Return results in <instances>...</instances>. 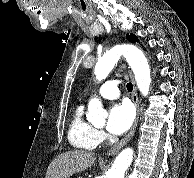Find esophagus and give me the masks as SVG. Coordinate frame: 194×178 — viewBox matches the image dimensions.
Listing matches in <instances>:
<instances>
[{"mask_svg":"<svg viewBox=\"0 0 194 178\" xmlns=\"http://www.w3.org/2000/svg\"><path fill=\"white\" fill-rule=\"evenodd\" d=\"M130 76H131V79H132V82H133V86H134L133 93H132V100H133V102H134V104L136 106V111H137L136 112V117H135L134 123H133L129 133L120 142L115 144L107 152V156H112V155L117 154L121 150V148L124 147L127 144V142L133 137V135H134V133L136 131L137 125H138L139 114H140L139 99H138L136 83H135L134 77L131 74V72H130Z\"/></svg>","mask_w":194,"mask_h":178,"instance_id":"34e87169","label":"esophagus"}]
</instances>
